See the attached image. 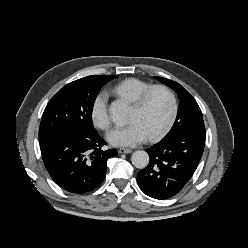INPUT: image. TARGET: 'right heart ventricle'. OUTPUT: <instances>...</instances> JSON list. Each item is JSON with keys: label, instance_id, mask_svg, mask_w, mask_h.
I'll return each instance as SVG.
<instances>
[{"label": "right heart ventricle", "instance_id": "e07e8e85", "mask_svg": "<svg viewBox=\"0 0 248 248\" xmlns=\"http://www.w3.org/2000/svg\"><path fill=\"white\" fill-rule=\"evenodd\" d=\"M149 82L138 78L125 79L111 88L112 93L121 98L134 102L143 92L152 87Z\"/></svg>", "mask_w": 248, "mask_h": 248}]
</instances>
